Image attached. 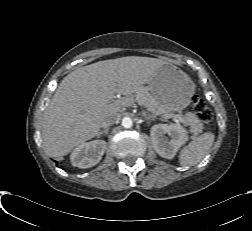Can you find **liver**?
I'll return each instance as SVG.
<instances>
[{"label":"liver","mask_w":252,"mask_h":231,"mask_svg":"<svg viewBox=\"0 0 252 231\" xmlns=\"http://www.w3.org/2000/svg\"><path fill=\"white\" fill-rule=\"evenodd\" d=\"M166 62L127 56L99 61L68 74L45 109L42 125L46 152L61 159L75 147L98 136L103 121L117 114L126 99L108 97L111 90L131 96Z\"/></svg>","instance_id":"liver-1"}]
</instances>
